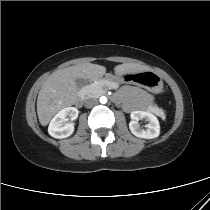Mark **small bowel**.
Listing matches in <instances>:
<instances>
[{
	"instance_id": "small-bowel-1",
	"label": "small bowel",
	"mask_w": 210,
	"mask_h": 210,
	"mask_svg": "<svg viewBox=\"0 0 210 210\" xmlns=\"http://www.w3.org/2000/svg\"><path fill=\"white\" fill-rule=\"evenodd\" d=\"M115 100L116 102H123L127 111H133L147 106L151 102L152 97L140 90L125 88L115 96Z\"/></svg>"
}]
</instances>
